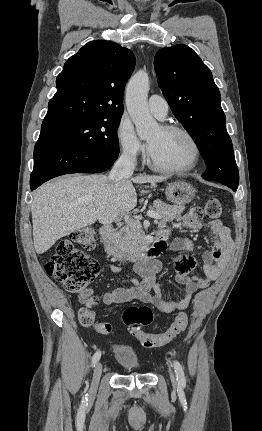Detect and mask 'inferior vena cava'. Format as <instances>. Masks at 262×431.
I'll return each instance as SVG.
<instances>
[{"instance_id":"obj_1","label":"inferior vena cava","mask_w":262,"mask_h":431,"mask_svg":"<svg viewBox=\"0 0 262 431\" xmlns=\"http://www.w3.org/2000/svg\"><path fill=\"white\" fill-rule=\"evenodd\" d=\"M135 166L136 156L128 151H124L114 164L108 178L112 182L129 178L132 176Z\"/></svg>"}]
</instances>
